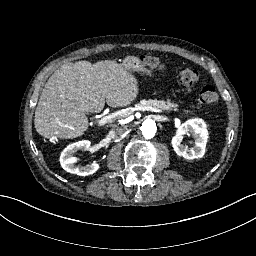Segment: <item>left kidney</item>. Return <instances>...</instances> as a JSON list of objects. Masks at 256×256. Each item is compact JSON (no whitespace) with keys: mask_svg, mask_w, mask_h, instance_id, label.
<instances>
[{"mask_svg":"<svg viewBox=\"0 0 256 256\" xmlns=\"http://www.w3.org/2000/svg\"><path fill=\"white\" fill-rule=\"evenodd\" d=\"M186 135H192L194 147L188 148L181 144ZM208 139L206 124L200 119H191L180 125L171 140L174 151L177 155L187 160L201 158L205 153V146Z\"/></svg>","mask_w":256,"mask_h":256,"instance_id":"left-kidney-1","label":"left kidney"}]
</instances>
